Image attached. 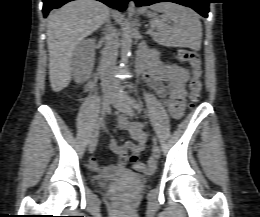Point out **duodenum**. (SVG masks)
<instances>
[{
    "mask_svg": "<svg viewBox=\"0 0 260 217\" xmlns=\"http://www.w3.org/2000/svg\"><path fill=\"white\" fill-rule=\"evenodd\" d=\"M93 87V83H89L86 87L87 90L91 89Z\"/></svg>",
    "mask_w": 260,
    "mask_h": 217,
    "instance_id": "1",
    "label": "duodenum"
}]
</instances>
